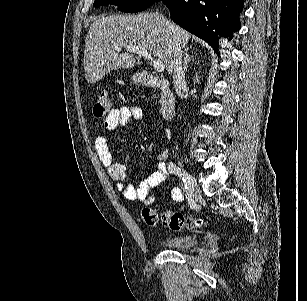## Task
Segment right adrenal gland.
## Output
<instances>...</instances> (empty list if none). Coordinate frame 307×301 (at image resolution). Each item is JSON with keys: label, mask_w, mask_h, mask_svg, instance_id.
<instances>
[{"label": "right adrenal gland", "mask_w": 307, "mask_h": 301, "mask_svg": "<svg viewBox=\"0 0 307 301\" xmlns=\"http://www.w3.org/2000/svg\"><path fill=\"white\" fill-rule=\"evenodd\" d=\"M189 48H184L183 52H184V64H183V68H184V72H187V68H188V62H190L192 56H189V54H187Z\"/></svg>", "instance_id": "obj_1"}]
</instances>
